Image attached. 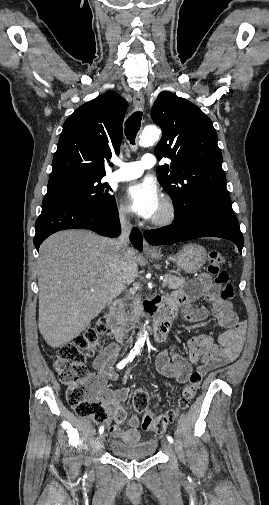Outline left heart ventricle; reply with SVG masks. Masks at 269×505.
<instances>
[{
	"label": "left heart ventricle",
	"instance_id": "left-heart-ventricle-1",
	"mask_svg": "<svg viewBox=\"0 0 269 505\" xmlns=\"http://www.w3.org/2000/svg\"><path fill=\"white\" fill-rule=\"evenodd\" d=\"M161 212H162V205L160 206V208L158 209V211H157V213L155 214V216H154V217H156V216L160 215V214H161ZM154 217H153V218H154Z\"/></svg>",
	"mask_w": 269,
	"mask_h": 505
}]
</instances>
